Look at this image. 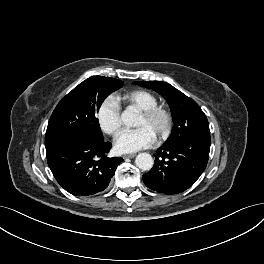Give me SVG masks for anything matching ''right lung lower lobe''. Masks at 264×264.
<instances>
[{
    "label": "right lung lower lobe",
    "instance_id": "right-lung-lower-lobe-1",
    "mask_svg": "<svg viewBox=\"0 0 264 264\" xmlns=\"http://www.w3.org/2000/svg\"><path fill=\"white\" fill-rule=\"evenodd\" d=\"M110 142L76 141L47 153L55 179L73 195H92L107 188L122 158L107 157Z\"/></svg>",
    "mask_w": 264,
    "mask_h": 264
}]
</instances>
